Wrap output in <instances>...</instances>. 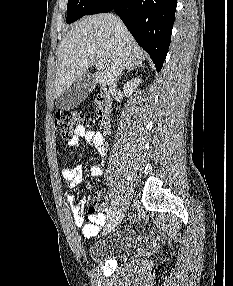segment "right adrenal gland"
<instances>
[{"label":"right adrenal gland","mask_w":233,"mask_h":286,"mask_svg":"<svg viewBox=\"0 0 233 286\" xmlns=\"http://www.w3.org/2000/svg\"><path fill=\"white\" fill-rule=\"evenodd\" d=\"M137 67H143V68H144V65H143V64L134 65V66L130 67V68L127 70V73H129L131 70H133V69H135V68H137Z\"/></svg>","instance_id":"right-adrenal-gland-1"}]
</instances>
